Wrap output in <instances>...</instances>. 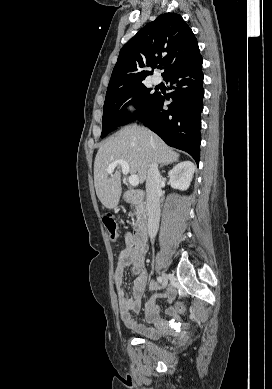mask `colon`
Segmentation results:
<instances>
[{
    "label": "colon",
    "mask_w": 272,
    "mask_h": 389,
    "mask_svg": "<svg viewBox=\"0 0 272 389\" xmlns=\"http://www.w3.org/2000/svg\"><path fill=\"white\" fill-rule=\"evenodd\" d=\"M103 223L106 227L110 239L115 240L118 235V225L115 218L112 215L108 214L104 216ZM176 310L178 313L183 314L185 312V307L182 303H177Z\"/></svg>",
    "instance_id": "5ec220e1"
}]
</instances>
